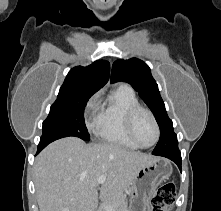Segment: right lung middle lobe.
Returning a JSON list of instances; mask_svg holds the SVG:
<instances>
[{"instance_id": "obj_1", "label": "right lung middle lobe", "mask_w": 221, "mask_h": 211, "mask_svg": "<svg viewBox=\"0 0 221 211\" xmlns=\"http://www.w3.org/2000/svg\"><path fill=\"white\" fill-rule=\"evenodd\" d=\"M92 95L57 99L50 108V113L43 122V134L39 144L51 143L57 139L75 136L85 141L90 135L84 122V108Z\"/></svg>"}]
</instances>
